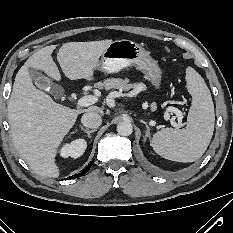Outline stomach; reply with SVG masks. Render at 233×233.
Instances as JSON below:
<instances>
[{
	"label": "stomach",
	"mask_w": 233,
	"mask_h": 233,
	"mask_svg": "<svg viewBox=\"0 0 233 233\" xmlns=\"http://www.w3.org/2000/svg\"><path fill=\"white\" fill-rule=\"evenodd\" d=\"M134 66L144 74V78L159 88L161 70L157 62L140 44L131 40L112 41L103 51L97 69L104 73H117Z\"/></svg>",
	"instance_id": "1"
}]
</instances>
